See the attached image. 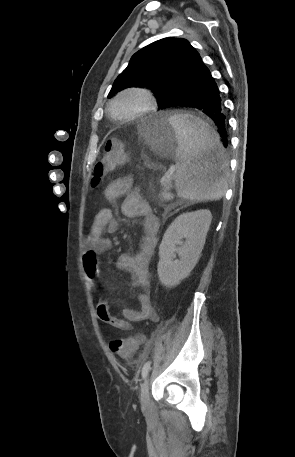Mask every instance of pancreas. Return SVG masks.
I'll return each mask as SVG.
<instances>
[{
  "label": "pancreas",
  "mask_w": 295,
  "mask_h": 457,
  "mask_svg": "<svg viewBox=\"0 0 295 457\" xmlns=\"http://www.w3.org/2000/svg\"><path fill=\"white\" fill-rule=\"evenodd\" d=\"M162 185V191L161 193L159 194V196L161 198H163L164 200H170L172 198V194L169 192L170 188H171V182H166V183H161Z\"/></svg>",
  "instance_id": "1"
}]
</instances>
